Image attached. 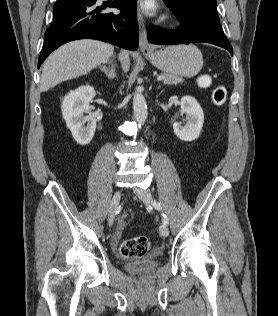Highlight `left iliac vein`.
Segmentation results:
<instances>
[{
    "label": "left iliac vein",
    "mask_w": 278,
    "mask_h": 316,
    "mask_svg": "<svg viewBox=\"0 0 278 316\" xmlns=\"http://www.w3.org/2000/svg\"><path fill=\"white\" fill-rule=\"evenodd\" d=\"M133 191L138 196V198L142 200L145 204L147 205L150 204L151 198H152L150 190L135 187ZM159 230H160V234L163 237H167L169 235V229L167 225L165 224L160 225Z\"/></svg>",
    "instance_id": "left-iliac-vein-1"
}]
</instances>
